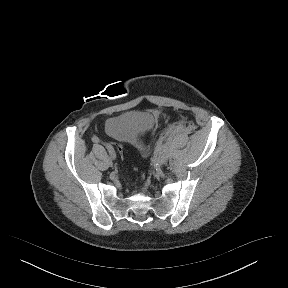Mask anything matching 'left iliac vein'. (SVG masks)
Here are the masks:
<instances>
[{
  "label": "left iliac vein",
  "instance_id": "obj_1",
  "mask_svg": "<svg viewBox=\"0 0 288 288\" xmlns=\"http://www.w3.org/2000/svg\"><path fill=\"white\" fill-rule=\"evenodd\" d=\"M166 161H167V157H166L165 154H161V155L158 157V160H157V162H158L159 165L165 164Z\"/></svg>",
  "mask_w": 288,
  "mask_h": 288
}]
</instances>
